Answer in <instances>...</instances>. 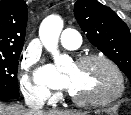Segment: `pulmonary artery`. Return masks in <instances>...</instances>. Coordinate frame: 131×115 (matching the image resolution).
<instances>
[{
    "label": "pulmonary artery",
    "instance_id": "pulmonary-artery-1",
    "mask_svg": "<svg viewBox=\"0 0 131 115\" xmlns=\"http://www.w3.org/2000/svg\"><path fill=\"white\" fill-rule=\"evenodd\" d=\"M61 45L66 49H77L81 44V37L76 30L65 29L60 37Z\"/></svg>",
    "mask_w": 131,
    "mask_h": 115
}]
</instances>
